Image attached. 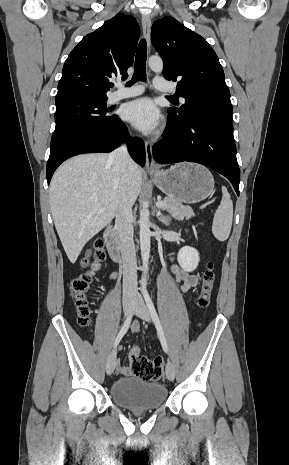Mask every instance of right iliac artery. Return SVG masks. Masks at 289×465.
Instances as JSON below:
<instances>
[{
  "label": "right iliac artery",
  "instance_id": "obj_1",
  "mask_svg": "<svg viewBox=\"0 0 289 465\" xmlns=\"http://www.w3.org/2000/svg\"><path fill=\"white\" fill-rule=\"evenodd\" d=\"M132 317H133V313L131 312L128 317L126 318L120 332L118 333L115 341H114V347H117V345L119 344V342L121 341L122 337L125 335V333L128 331L129 329V326H130V323H131V320H132Z\"/></svg>",
  "mask_w": 289,
  "mask_h": 465
}]
</instances>
